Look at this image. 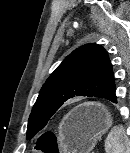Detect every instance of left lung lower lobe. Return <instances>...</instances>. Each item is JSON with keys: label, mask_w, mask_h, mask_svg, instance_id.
Segmentation results:
<instances>
[{"label": "left lung lower lobe", "mask_w": 130, "mask_h": 153, "mask_svg": "<svg viewBox=\"0 0 130 153\" xmlns=\"http://www.w3.org/2000/svg\"><path fill=\"white\" fill-rule=\"evenodd\" d=\"M115 91H116V86H115L114 77L112 74V77L108 83V86L106 87V90L103 93L101 98L117 103V97H116Z\"/></svg>", "instance_id": "left-lung-lower-lobe-1"}]
</instances>
